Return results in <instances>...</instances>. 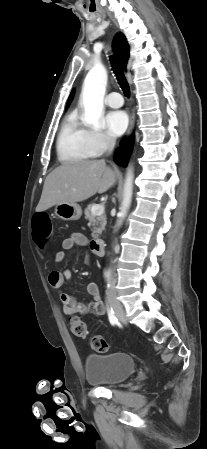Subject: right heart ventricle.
Listing matches in <instances>:
<instances>
[{"mask_svg":"<svg viewBox=\"0 0 207 449\" xmlns=\"http://www.w3.org/2000/svg\"><path fill=\"white\" fill-rule=\"evenodd\" d=\"M57 156L62 163H71L95 156L88 130L82 126L76 112H71L63 121L57 137Z\"/></svg>","mask_w":207,"mask_h":449,"instance_id":"e07e8e85","label":"right heart ventricle"}]
</instances>
